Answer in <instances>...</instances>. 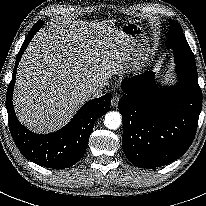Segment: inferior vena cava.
I'll return each instance as SVG.
<instances>
[{
  "mask_svg": "<svg viewBox=\"0 0 206 206\" xmlns=\"http://www.w3.org/2000/svg\"><path fill=\"white\" fill-rule=\"evenodd\" d=\"M107 86V83H104L103 85L100 86H93L90 87L87 91L88 97L89 98H99L104 95V91L102 87Z\"/></svg>",
  "mask_w": 206,
  "mask_h": 206,
  "instance_id": "obj_1",
  "label": "inferior vena cava"
}]
</instances>
